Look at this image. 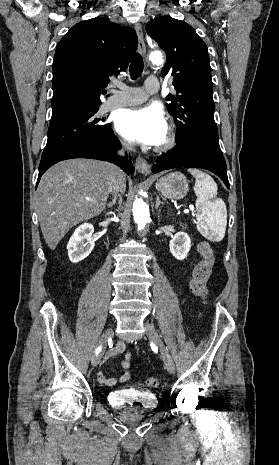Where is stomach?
Listing matches in <instances>:
<instances>
[{
	"mask_svg": "<svg viewBox=\"0 0 279 465\" xmlns=\"http://www.w3.org/2000/svg\"><path fill=\"white\" fill-rule=\"evenodd\" d=\"M156 188L169 199L184 198L188 192V181L180 172L169 173L156 182Z\"/></svg>",
	"mask_w": 279,
	"mask_h": 465,
	"instance_id": "obj_1",
	"label": "stomach"
}]
</instances>
